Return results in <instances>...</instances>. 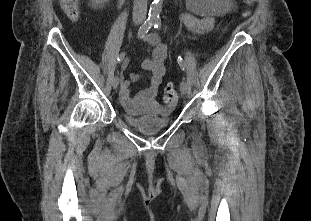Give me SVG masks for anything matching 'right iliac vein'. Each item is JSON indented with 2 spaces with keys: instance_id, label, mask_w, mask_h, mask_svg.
<instances>
[{
  "instance_id": "1",
  "label": "right iliac vein",
  "mask_w": 311,
  "mask_h": 221,
  "mask_svg": "<svg viewBox=\"0 0 311 221\" xmlns=\"http://www.w3.org/2000/svg\"><path fill=\"white\" fill-rule=\"evenodd\" d=\"M138 23V22H137ZM118 85H119V78L118 76H115L112 80V86L114 89H117L118 88Z\"/></svg>"
}]
</instances>
